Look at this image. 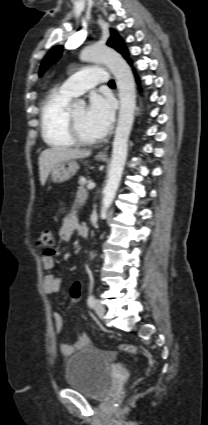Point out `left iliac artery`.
Wrapping results in <instances>:
<instances>
[{"label": "left iliac artery", "instance_id": "44dca946", "mask_svg": "<svg viewBox=\"0 0 208 425\" xmlns=\"http://www.w3.org/2000/svg\"><path fill=\"white\" fill-rule=\"evenodd\" d=\"M87 303H88V306L90 308H93L94 307V304H95V297L93 295H90L88 297Z\"/></svg>", "mask_w": 208, "mask_h": 425}]
</instances>
